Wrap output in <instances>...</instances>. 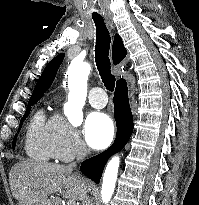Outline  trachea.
<instances>
[{
    "label": "trachea",
    "mask_w": 199,
    "mask_h": 205,
    "mask_svg": "<svg viewBox=\"0 0 199 205\" xmlns=\"http://www.w3.org/2000/svg\"><path fill=\"white\" fill-rule=\"evenodd\" d=\"M92 18L96 26V66L106 89L113 91L115 87V77L111 73V63L109 59L111 37L103 18L100 16H93Z\"/></svg>",
    "instance_id": "1"
}]
</instances>
